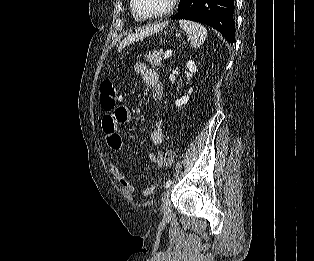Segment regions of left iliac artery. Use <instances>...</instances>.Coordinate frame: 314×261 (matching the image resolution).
Listing matches in <instances>:
<instances>
[{
  "label": "left iliac artery",
  "mask_w": 314,
  "mask_h": 261,
  "mask_svg": "<svg viewBox=\"0 0 314 261\" xmlns=\"http://www.w3.org/2000/svg\"><path fill=\"white\" fill-rule=\"evenodd\" d=\"M171 183H172V181L169 179V180L166 182V184H165V188L170 187Z\"/></svg>",
  "instance_id": "left-iliac-artery-1"
}]
</instances>
